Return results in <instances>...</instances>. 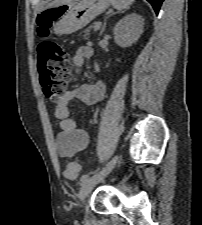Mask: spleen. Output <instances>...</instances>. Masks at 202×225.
I'll return each mask as SVG.
<instances>
[{"instance_id":"3e777b00","label":"spleen","mask_w":202,"mask_h":225,"mask_svg":"<svg viewBox=\"0 0 202 225\" xmlns=\"http://www.w3.org/2000/svg\"><path fill=\"white\" fill-rule=\"evenodd\" d=\"M134 0H111L113 7L119 11L129 9Z\"/></svg>"}]
</instances>
